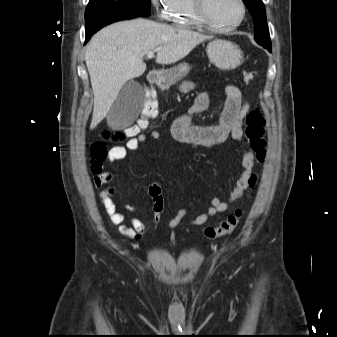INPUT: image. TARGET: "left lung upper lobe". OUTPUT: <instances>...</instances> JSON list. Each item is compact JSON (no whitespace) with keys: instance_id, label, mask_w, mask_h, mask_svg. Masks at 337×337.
Instances as JSON below:
<instances>
[{"instance_id":"1","label":"left lung upper lobe","mask_w":337,"mask_h":337,"mask_svg":"<svg viewBox=\"0 0 337 337\" xmlns=\"http://www.w3.org/2000/svg\"><path fill=\"white\" fill-rule=\"evenodd\" d=\"M251 15L255 24V36L254 39L264 48L271 51V41L269 35L268 25L266 23V13L262 0H243Z\"/></svg>"}]
</instances>
